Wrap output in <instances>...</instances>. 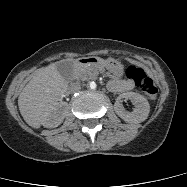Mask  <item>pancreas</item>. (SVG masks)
<instances>
[{"label": "pancreas", "instance_id": "obj_1", "mask_svg": "<svg viewBox=\"0 0 187 187\" xmlns=\"http://www.w3.org/2000/svg\"><path fill=\"white\" fill-rule=\"evenodd\" d=\"M102 70L101 67L85 65L76 71L75 77L82 81L95 80Z\"/></svg>", "mask_w": 187, "mask_h": 187}]
</instances>
